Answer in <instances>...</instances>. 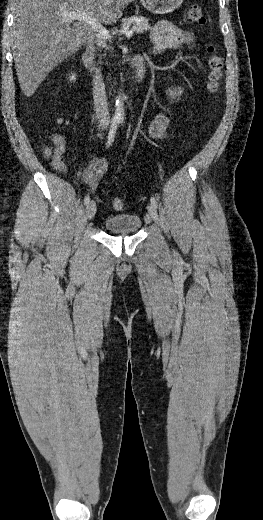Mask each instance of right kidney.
Returning a JSON list of instances; mask_svg holds the SVG:
<instances>
[{"instance_id": "obj_1", "label": "right kidney", "mask_w": 263, "mask_h": 520, "mask_svg": "<svg viewBox=\"0 0 263 520\" xmlns=\"http://www.w3.org/2000/svg\"><path fill=\"white\" fill-rule=\"evenodd\" d=\"M76 80V76L75 74H72V76H70V81H75Z\"/></svg>"}]
</instances>
